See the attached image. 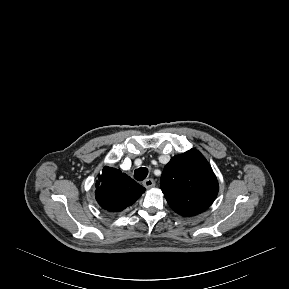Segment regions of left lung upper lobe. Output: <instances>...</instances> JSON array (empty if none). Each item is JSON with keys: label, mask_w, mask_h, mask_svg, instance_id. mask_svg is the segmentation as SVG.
Returning <instances> with one entry per match:
<instances>
[{"label": "left lung upper lobe", "mask_w": 289, "mask_h": 289, "mask_svg": "<svg viewBox=\"0 0 289 289\" xmlns=\"http://www.w3.org/2000/svg\"><path fill=\"white\" fill-rule=\"evenodd\" d=\"M160 188L170 207L188 217L204 212L218 194L211 166L196 149L172 157L161 175Z\"/></svg>", "instance_id": "obj_1"}]
</instances>
